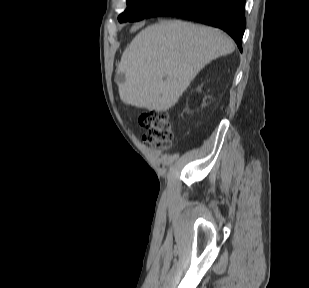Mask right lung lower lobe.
Segmentation results:
<instances>
[{
    "label": "right lung lower lobe",
    "mask_w": 309,
    "mask_h": 288,
    "mask_svg": "<svg viewBox=\"0 0 309 288\" xmlns=\"http://www.w3.org/2000/svg\"><path fill=\"white\" fill-rule=\"evenodd\" d=\"M245 0H168L146 18L179 16L226 31L242 51L246 27Z\"/></svg>",
    "instance_id": "obj_1"
}]
</instances>
